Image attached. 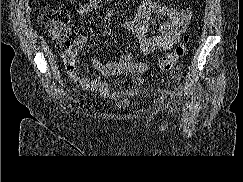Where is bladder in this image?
<instances>
[{"label": "bladder", "instance_id": "bladder-1", "mask_svg": "<svg viewBox=\"0 0 243 182\" xmlns=\"http://www.w3.org/2000/svg\"><path fill=\"white\" fill-rule=\"evenodd\" d=\"M130 106L129 101H121L113 105V109L115 110H125L128 109Z\"/></svg>", "mask_w": 243, "mask_h": 182}]
</instances>
